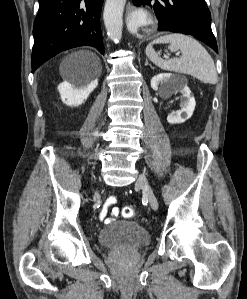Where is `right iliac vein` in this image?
Masks as SVG:
<instances>
[{
    "instance_id": "obj_1",
    "label": "right iliac vein",
    "mask_w": 247,
    "mask_h": 299,
    "mask_svg": "<svg viewBox=\"0 0 247 299\" xmlns=\"http://www.w3.org/2000/svg\"><path fill=\"white\" fill-rule=\"evenodd\" d=\"M97 197H98V192L95 193L94 199H96Z\"/></svg>"
}]
</instances>
